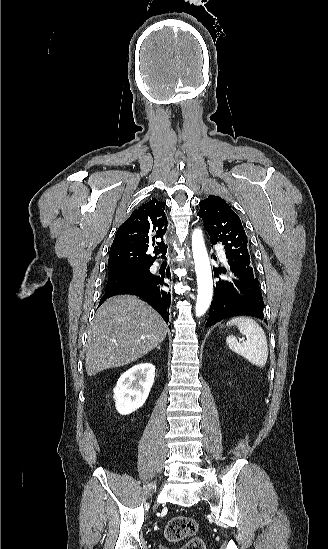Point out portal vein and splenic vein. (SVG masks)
<instances>
[{
    "label": "portal vein and splenic vein",
    "instance_id": "obj_1",
    "mask_svg": "<svg viewBox=\"0 0 328 549\" xmlns=\"http://www.w3.org/2000/svg\"><path fill=\"white\" fill-rule=\"evenodd\" d=\"M241 343H244V340L243 339H240Z\"/></svg>",
    "mask_w": 328,
    "mask_h": 549
}]
</instances>
